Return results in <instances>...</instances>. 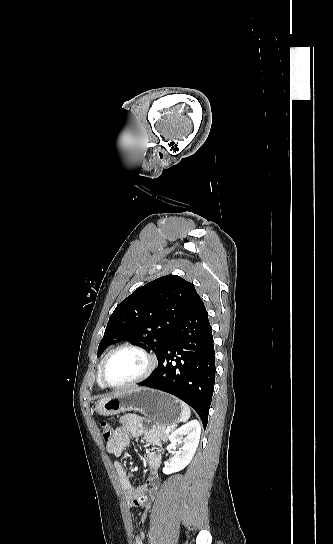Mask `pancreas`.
I'll use <instances>...</instances> for the list:
<instances>
[{
    "label": "pancreas",
    "mask_w": 333,
    "mask_h": 544,
    "mask_svg": "<svg viewBox=\"0 0 333 544\" xmlns=\"http://www.w3.org/2000/svg\"><path fill=\"white\" fill-rule=\"evenodd\" d=\"M154 432L164 441L166 442L168 440L169 434L165 432L164 426H157L154 429Z\"/></svg>",
    "instance_id": "pancreas-1"
}]
</instances>
